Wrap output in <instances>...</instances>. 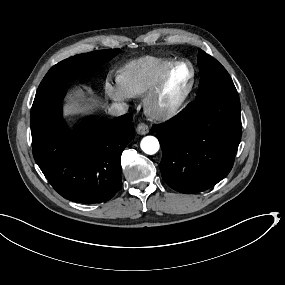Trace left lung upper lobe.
Listing matches in <instances>:
<instances>
[{
	"mask_svg": "<svg viewBox=\"0 0 285 285\" xmlns=\"http://www.w3.org/2000/svg\"><path fill=\"white\" fill-rule=\"evenodd\" d=\"M198 65L201 74L199 91L202 94L236 90L226 69L202 50L198 53Z\"/></svg>",
	"mask_w": 285,
	"mask_h": 285,
	"instance_id": "1",
	"label": "left lung upper lobe"
}]
</instances>
